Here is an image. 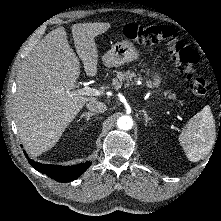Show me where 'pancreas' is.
Wrapping results in <instances>:
<instances>
[{
    "instance_id": "cf45deb5",
    "label": "pancreas",
    "mask_w": 221,
    "mask_h": 221,
    "mask_svg": "<svg viewBox=\"0 0 221 221\" xmlns=\"http://www.w3.org/2000/svg\"><path fill=\"white\" fill-rule=\"evenodd\" d=\"M134 80H141L142 77L141 75H138L134 72H129V71H122V72H117L116 78L113 79L112 81V86L114 89H119L122 85V83L125 81L126 83H131L134 84ZM150 85V83H149ZM167 94V93H165ZM169 98H175V94H169Z\"/></svg>"
}]
</instances>
